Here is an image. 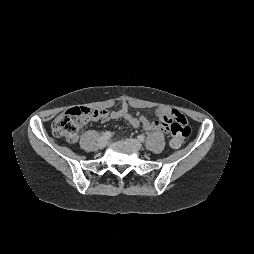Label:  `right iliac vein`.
<instances>
[{
  "instance_id": "1",
  "label": "right iliac vein",
  "mask_w": 254,
  "mask_h": 254,
  "mask_svg": "<svg viewBox=\"0 0 254 254\" xmlns=\"http://www.w3.org/2000/svg\"><path fill=\"white\" fill-rule=\"evenodd\" d=\"M108 144V139L105 137H102L99 141V147L104 148Z\"/></svg>"
}]
</instances>
